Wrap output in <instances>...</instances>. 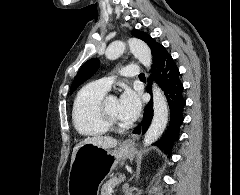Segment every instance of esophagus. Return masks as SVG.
Returning a JSON list of instances; mask_svg holds the SVG:
<instances>
[{
    "label": "esophagus",
    "mask_w": 240,
    "mask_h": 195,
    "mask_svg": "<svg viewBox=\"0 0 240 195\" xmlns=\"http://www.w3.org/2000/svg\"><path fill=\"white\" fill-rule=\"evenodd\" d=\"M137 138H138L137 135L132 134L129 138H127L123 142V147L122 148H129L130 146H132L134 144V142Z\"/></svg>",
    "instance_id": "34e87169"
}]
</instances>
